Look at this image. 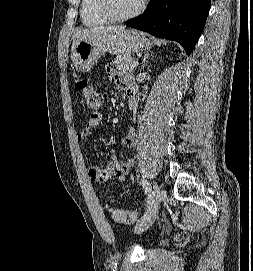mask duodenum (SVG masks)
<instances>
[{"label":"duodenum","instance_id":"obj_1","mask_svg":"<svg viewBox=\"0 0 253 271\" xmlns=\"http://www.w3.org/2000/svg\"><path fill=\"white\" fill-rule=\"evenodd\" d=\"M134 105H135V95L134 93L129 92L127 93V108L131 110L133 109Z\"/></svg>","mask_w":253,"mask_h":271}]
</instances>
